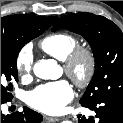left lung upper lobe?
Returning <instances> with one entry per match:
<instances>
[{
	"label": "left lung upper lobe",
	"instance_id": "5c2ea615",
	"mask_svg": "<svg viewBox=\"0 0 123 123\" xmlns=\"http://www.w3.org/2000/svg\"><path fill=\"white\" fill-rule=\"evenodd\" d=\"M61 28L82 35L94 54L95 74L80 102L123 95V34L118 26L103 16L80 13L60 18L52 31Z\"/></svg>",
	"mask_w": 123,
	"mask_h": 123
}]
</instances>
